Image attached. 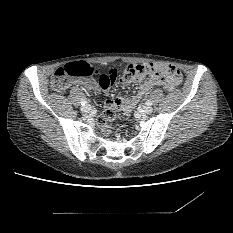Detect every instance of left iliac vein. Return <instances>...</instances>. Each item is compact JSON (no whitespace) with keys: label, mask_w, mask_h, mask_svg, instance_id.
Returning a JSON list of instances; mask_svg holds the SVG:
<instances>
[{"label":"left iliac vein","mask_w":233,"mask_h":233,"mask_svg":"<svg viewBox=\"0 0 233 233\" xmlns=\"http://www.w3.org/2000/svg\"><path fill=\"white\" fill-rule=\"evenodd\" d=\"M142 111L146 114H150L153 111V108L151 106L143 105L141 107Z\"/></svg>","instance_id":"1"}]
</instances>
